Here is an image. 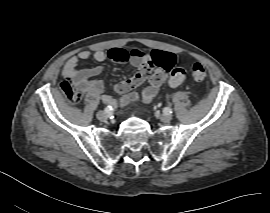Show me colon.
Listing matches in <instances>:
<instances>
[{
	"mask_svg": "<svg viewBox=\"0 0 270 213\" xmlns=\"http://www.w3.org/2000/svg\"><path fill=\"white\" fill-rule=\"evenodd\" d=\"M141 53L146 54L144 51L139 49H132L129 51L124 49H115L111 52V57L112 60L122 63L128 61L131 56L141 55ZM146 55L148 60H151L152 63L160 65L170 71V85L178 86L183 83L185 79L184 70L181 68H173V57L171 54L165 52H155L151 56L148 54ZM151 72L152 69L149 65H145L139 70V74L143 78L149 76ZM190 72L192 77L199 82L204 81L207 77V71L200 63H192L190 65ZM62 89L70 103L78 104L80 102L81 98L74 93L67 83L62 85Z\"/></svg>",
	"mask_w": 270,
	"mask_h": 213,
	"instance_id": "1",
	"label": "colon"
}]
</instances>
